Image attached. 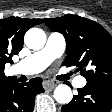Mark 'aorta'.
I'll use <instances>...</instances> for the list:
<instances>
[{
  "instance_id": "aorta-1",
  "label": "aorta",
  "mask_w": 112,
  "mask_h": 112,
  "mask_svg": "<svg viewBox=\"0 0 112 112\" xmlns=\"http://www.w3.org/2000/svg\"><path fill=\"white\" fill-rule=\"evenodd\" d=\"M24 42L28 48L39 50L46 43V34L42 29L31 28L26 32ZM72 97L71 88L66 84H60L54 90V99L60 104L70 103Z\"/></svg>"
}]
</instances>
